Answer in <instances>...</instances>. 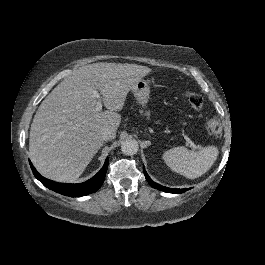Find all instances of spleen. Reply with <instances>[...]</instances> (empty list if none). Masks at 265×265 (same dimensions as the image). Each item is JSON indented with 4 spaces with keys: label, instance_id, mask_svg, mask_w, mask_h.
Returning <instances> with one entry per match:
<instances>
[{
    "label": "spleen",
    "instance_id": "obj_1",
    "mask_svg": "<svg viewBox=\"0 0 265 265\" xmlns=\"http://www.w3.org/2000/svg\"><path fill=\"white\" fill-rule=\"evenodd\" d=\"M218 154L216 148L206 147L202 151H194L184 146H178L167 150L163 156L173 170L195 179L209 171L216 162Z\"/></svg>",
    "mask_w": 265,
    "mask_h": 265
}]
</instances>
